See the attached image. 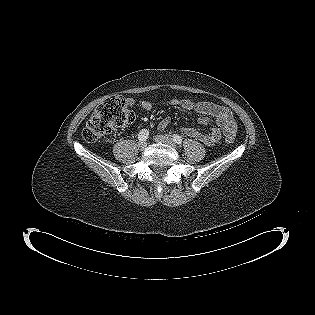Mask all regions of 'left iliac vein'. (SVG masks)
<instances>
[{"mask_svg":"<svg viewBox=\"0 0 315 315\" xmlns=\"http://www.w3.org/2000/svg\"><path fill=\"white\" fill-rule=\"evenodd\" d=\"M154 140H155L156 142H161V143L168 144V145H170V146H172V147H176V145H175L173 139H172L171 137L167 136V135H157V136L154 138Z\"/></svg>","mask_w":315,"mask_h":315,"instance_id":"1","label":"left iliac vein"}]
</instances>
